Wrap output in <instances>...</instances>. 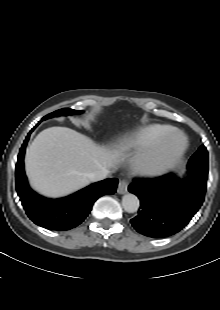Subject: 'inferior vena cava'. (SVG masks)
Returning a JSON list of instances; mask_svg holds the SVG:
<instances>
[{"label": "inferior vena cava", "mask_w": 220, "mask_h": 310, "mask_svg": "<svg viewBox=\"0 0 220 310\" xmlns=\"http://www.w3.org/2000/svg\"><path fill=\"white\" fill-rule=\"evenodd\" d=\"M109 174V170L106 168H102L100 170L91 172L87 175L90 181L96 182L105 179Z\"/></svg>", "instance_id": "602c4592"}]
</instances>
